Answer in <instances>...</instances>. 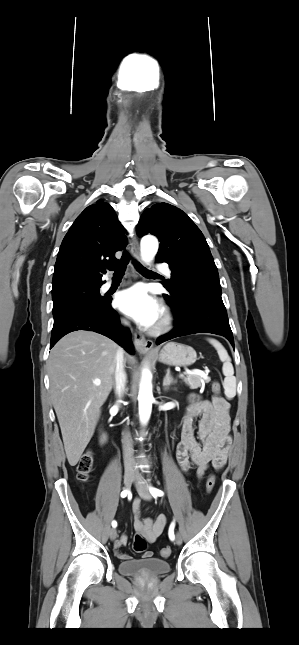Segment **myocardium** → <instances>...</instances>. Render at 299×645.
Here are the masks:
<instances>
[{
  "label": "myocardium",
  "instance_id": "1",
  "mask_svg": "<svg viewBox=\"0 0 299 645\" xmlns=\"http://www.w3.org/2000/svg\"><path fill=\"white\" fill-rule=\"evenodd\" d=\"M172 316L167 310H163L160 314L158 321L152 329L153 334H159L165 332L171 327Z\"/></svg>",
  "mask_w": 299,
  "mask_h": 645
}]
</instances>
